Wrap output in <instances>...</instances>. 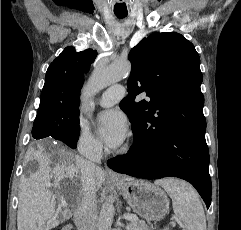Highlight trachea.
I'll list each match as a JSON object with an SVG mask.
<instances>
[{"mask_svg":"<svg viewBox=\"0 0 241 230\" xmlns=\"http://www.w3.org/2000/svg\"><path fill=\"white\" fill-rule=\"evenodd\" d=\"M115 15L118 17V18H125L127 16V13H115Z\"/></svg>","mask_w":241,"mask_h":230,"instance_id":"obj_1","label":"trachea"}]
</instances>
